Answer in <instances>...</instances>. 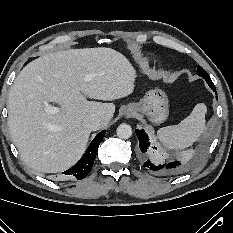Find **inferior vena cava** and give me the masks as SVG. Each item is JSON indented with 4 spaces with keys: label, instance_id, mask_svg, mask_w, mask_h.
Wrapping results in <instances>:
<instances>
[{
    "label": "inferior vena cava",
    "instance_id": "obj_1",
    "mask_svg": "<svg viewBox=\"0 0 233 233\" xmlns=\"http://www.w3.org/2000/svg\"><path fill=\"white\" fill-rule=\"evenodd\" d=\"M103 120L97 115H89L83 121V127L90 131H96L101 128Z\"/></svg>",
    "mask_w": 233,
    "mask_h": 233
}]
</instances>
